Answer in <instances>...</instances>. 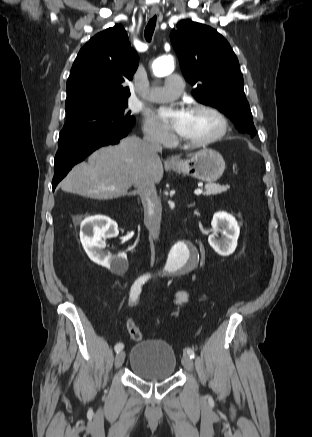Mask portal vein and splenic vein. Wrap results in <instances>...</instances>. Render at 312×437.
Returning <instances> with one entry per match:
<instances>
[{
	"label": "portal vein and splenic vein",
	"instance_id": "obj_1",
	"mask_svg": "<svg viewBox=\"0 0 312 437\" xmlns=\"http://www.w3.org/2000/svg\"><path fill=\"white\" fill-rule=\"evenodd\" d=\"M202 189H196L195 191H194V194H196V195H200V194H202Z\"/></svg>",
	"mask_w": 312,
	"mask_h": 437
}]
</instances>
